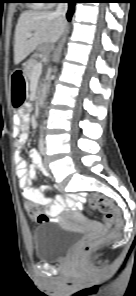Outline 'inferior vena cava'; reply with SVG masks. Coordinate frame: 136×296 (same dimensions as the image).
<instances>
[{
	"label": "inferior vena cava",
	"instance_id": "602c4592",
	"mask_svg": "<svg viewBox=\"0 0 136 296\" xmlns=\"http://www.w3.org/2000/svg\"><path fill=\"white\" fill-rule=\"evenodd\" d=\"M68 9V3H58L55 15L63 18L65 20V15Z\"/></svg>",
	"mask_w": 136,
	"mask_h": 296
}]
</instances>
